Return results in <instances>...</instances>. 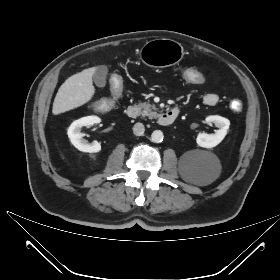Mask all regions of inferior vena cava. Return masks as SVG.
I'll list each match as a JSON object with an SVG mask.
<instances>
[{
  "mask_svg": "<svg viewBox=\"0 0 280 280\" xmlns=\"http://www.w3.org/2000/svg\"><path fill=\"white\" fill-rule=\"evenodd\" d=\"M144 131H145L144 125L140 122L136 123L133 126V133L136 136H142L144 134Z\"/></svg>",
  "mask_w": 280,
  "mask_h": 280,
  "instance_id": "1",
  "label": "inferior vena cava"
}]
</instances>
